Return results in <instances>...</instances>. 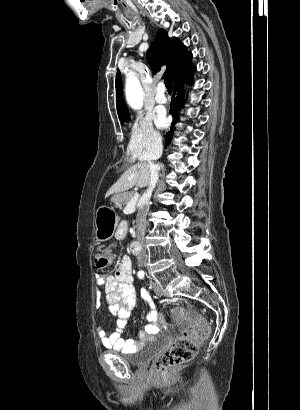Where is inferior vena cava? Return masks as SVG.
Segmentation results:
<instances>
[{"mask_svg":"<svg viewBox=\"0 0 300 410\" xmlns=\"http://www.w3.org/2000/svg\"><path fill=\"white\" fill-rule=\"evenodd\" d=\"M151 149L143 156V163H147L151 176H150V182L148 185V188L146 192L144 193L142 199L144 202V205L140 208L138 214H137V235H138V244L140 248V254L137 257L138 264L139 266H143L145 264L147 254H146V238L144 237L145 235V230H146V216L148 213V207L147 203L149 202L152 192L154 188L156 187L159 175L158 171L160 170V165L154 164L153 160L157 159L161 155L162 151V141L160 137L154 138L151 143H150Z\"/></svg>","mask_w":300,"mask_h":410,"instance_id":"1","label":"inferior vena cava"}]
</instances>
